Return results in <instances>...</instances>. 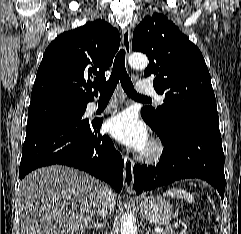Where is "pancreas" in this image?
Masks as SVG:
<instances>
[{"instance_id": "obj_1", "label": "pancreas", "mask_w": 241, "mask_h": 234, "mask_svg": "<svg viewBox=\"0 0 241 234\" xmlns=\"http://www.w3.org/2000/svg\"><path fill=\"white\" fill-rule=\"evenodd\" d=\"M163 234H176V233L171 229H166Z\"/></svg>"}]
</instances>
